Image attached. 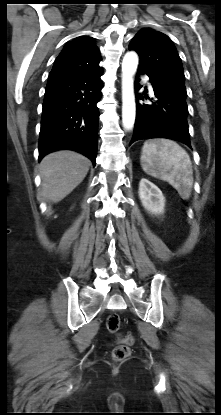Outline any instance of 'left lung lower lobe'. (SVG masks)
<instances>
[{
  "label": "left lung lower lobe",
  "instance_id": "0a47b994",
  "mask_svg": "<svg viewBox=\"0 0 221 415\" xmlns=\"http://www.w3.org/2000/svg\"><path fill=\"white\" fill-rule=\"evenodd\" d=\"M139 74H143L138 72ZM139 77L135 92L138 99H150L147 92L138 93ZM154 92L153 104L136 102V121L130 145L141 139L167 138L182 142L191 148L188 131V107L185 93L157 85L150 80Z\"/></svg>",
  "mask_w": 221,
  "mask_h": 415
}]
</instances>
